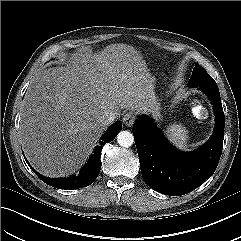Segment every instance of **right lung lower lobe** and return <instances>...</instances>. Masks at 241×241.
I'll return each mask as SVG.
<instances>
[{
    "label": "right lung lower lobe",
    "mask_w": 241,
    "mask_h": 241,
    "mask_svg": "<svg viewBox=\"0 0 241 241\" xmlns=\"http://www.w3.org/2000/svg\"><path fill=\"white\" fill-rule=\"evenodd\" d=\"M122 123L118 121L102 136L101 141L95 147L93 155L90 157L88 163L83 167L79 174L69 178L53 179L47 178L38 174L35 170L34 173L46 184L58 189H78L86 187L94 182L99 175L101 169V150L103 146L111 142L115 136L121 131ZM26 160V159H25Z\"/></svg>",
    "instance_id": "1"
}]
</instances>
